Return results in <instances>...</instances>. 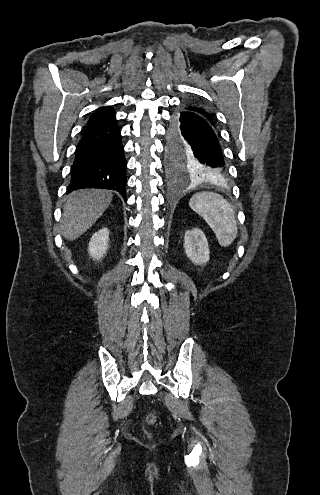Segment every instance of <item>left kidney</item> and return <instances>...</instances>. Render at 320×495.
<instances>
[{
    "instance_id": "left-kidney-1",
    "label": "left kidney",
    "mask_w": 320,
    "mask_h": 495,
    "mask_svg": "<svg viewBox=\"0 0 320 495\" xmlns=\"http://www.w3.org/2000/svg\"><path fill=\"white\" fill-rule=\"evenodd\" d=\"M184 249L187 257L196 265L206 264L210 259L208 241L200 229L194 228L185 233Z\"/></svg>"
}]
</instances>
